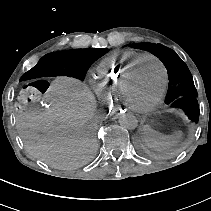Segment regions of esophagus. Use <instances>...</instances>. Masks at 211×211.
Listing matches in <instances>:
<instances>
[{
    "instance_id": "esophagus-1",
    "label": "esophagus",
    "mask_w": 211,
    "mask_h": 211,
    "mask_svg": "<svg viewBox=\"0 0 211 211\" xmlns=\"http://www.w3.org/2000/svg\"><path fill=\"white\" fill-rule=\"evenodd\" d=\"M131 108L128 105L125 106H120L117 109L114 110V115L115 116H120V115H124V114H128L130 113Z\"/></svg>"
}]
</instances>
